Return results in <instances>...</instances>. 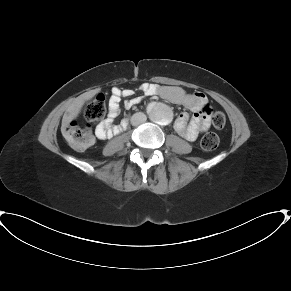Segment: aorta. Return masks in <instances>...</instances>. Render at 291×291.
<instances>
[{
    "label": "aorta",
    "instance_id": "aorta-1",
    "mask_svg": "<svg viewBox=\"0 0 291 291\" xmlns=\"http://www.w3.org/2000/svg\"><path fill=\"white\" fill-rule=\"evenodd\" d=\"M150 119L159 125H168L172 121V111L165 104L157 103L150 110Z\"/></svg>",
    "mask_w": 291,
    "mask_h": 291
}]
</instances>
